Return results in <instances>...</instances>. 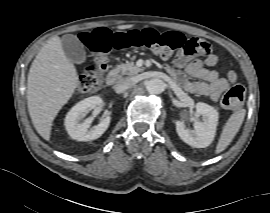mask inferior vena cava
<instances>
[{
  "instance_id": "1",
  "label": "inferior vena cava",
  "mask_w": 270,
  "mask_h": 213,
  "mask_svg": "<svg viewBox=\"0 0 270 213\" xmlns=\"http://www.w3.org/2000/svg\"><path fill=\"white\" fill-rule=\"evenodd\" d=\"M134 85V82L130 78H122L115 85V91L117 93H122L127 89L131 88Z\"/></svg>"
}]
</instances>
